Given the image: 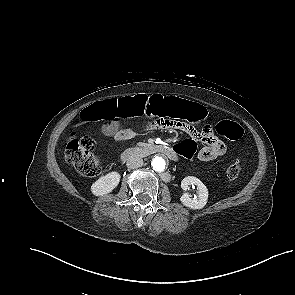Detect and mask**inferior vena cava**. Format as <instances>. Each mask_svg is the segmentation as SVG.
<instances>
[{"instance_id":"inferior-vena-cava-1","label":"inferior vena cava","mask_w":295,"mask_h":295,"mask_svg":"<svg viewBox=\"0 0 295 295\" xmlns=\"http://www.w3.org/2000/svg\"><path fill=\"white\" fill-rule=\"evenodd\" d=\"M127 167L129 169H136L143 165V159L139 157H131L127 160Z\"/></svg>"}]
</instances>
